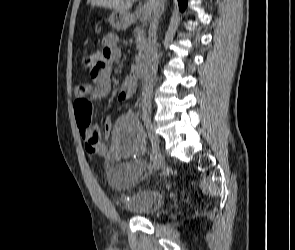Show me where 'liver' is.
Listing matches in <instances>:
<instances>
[{"label": "liver", "instance_id": "liver-1", "mask_svg": "<svg viewBox=\"0 0 295 250\" xmlns=\"http://www.w3.org/2000/svg\"><path fill=\"white\" fill-rule=\"evenodd\" d=\"M132 0H91L93 6H102L119 12H126L132 7ZM146 6L153 11L154 0H147Z\"/></svg>", "mask_w": 295, "mask_h": 250}]
</instances>
